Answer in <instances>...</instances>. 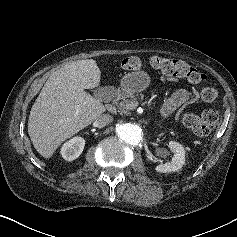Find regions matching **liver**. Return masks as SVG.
I'll return each mask as SVG.
<instances>
[{"mask_svg":"<svg viewBox=\"0 0 237 237\" xmlns=\"http://www.w3.org/2000/svg\"><path fill=\"white\" fill-rule=\"evenodd\" d=\"M101 71L93 59L78 60L53 72L33 104L28 134L46 159L56 149L105 112L99 99L85 89L99 86Z\"/></svg>","mask_w":237,"mask_h":237,"instance_id":"1","label":"liver"}]
</instances>
